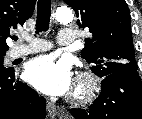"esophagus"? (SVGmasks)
Returning <instances> with one entry per match:
<instances>
[{"mask_svg":"<svg viewBox=\"0 0 142 119\" xmlns=\"http://www.w3.org/2000/svg\"><path fill=\"white\" fill-rule=\"evenodd\" d=\"M47 112L50 117L54 118L58 114V110L55 104L51 101H47Z\"/></svg>","mask_w":142,"mask_h":119,"instance_id":"1","label":"esophagus"}]
</instances>
